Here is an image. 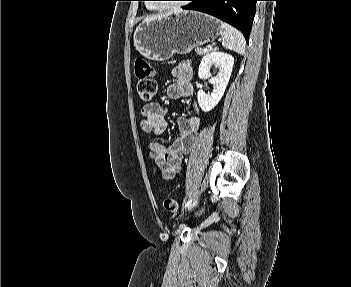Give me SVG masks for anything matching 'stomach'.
Masks as SVG:
<instances>
[{
  "mask_svg": "<svg viewBox=\"0 0 351 287\" xmlns=\"http://www.w3.org/2000/svg\"><path fill=\"white\" fill-rule=\"evenodd\" d=\"M222 31L221 22L204 13H170L140 23L134 32V46L147 59L166 61L175 53L186 54L214 41Z\"/></svg>",
  "mask_w": 351,
  "mask_h": 287,
  "instance_id": "stomach-1",
  "label": "stomach"
}]
</instances>
